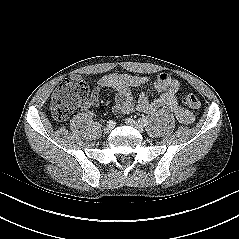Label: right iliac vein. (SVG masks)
Masks as SVG:
<instances>
[{
    "mask_svg": "<svg viewBox=\"0 0 239 239\" xmlns=\"http://www.w3.org/2000/svg\"><path fill=\"white\" fill-rule=\"evenodd\" d=\"M113 127L114 126H110L108 123V125L103 129L104 133L109 134L112 131Z\"/></svg>",
    "mask_w": 239,
    "mask_h": 239,
    "instance_id": "right-iliac-vein-1",
    "label": "right iliac vein"
}]
</instances>
